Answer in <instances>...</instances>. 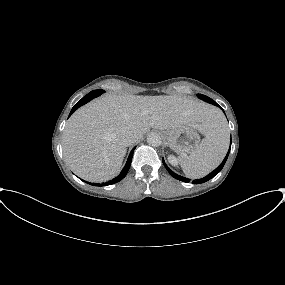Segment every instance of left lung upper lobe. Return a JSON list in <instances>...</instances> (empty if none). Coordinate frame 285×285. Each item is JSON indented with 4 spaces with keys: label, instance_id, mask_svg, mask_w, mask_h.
I'll return each instance as SVG.
<instances>
[{
    "label": "left lung upper lobe",
    "instance_id": "1",
    "mask_svg": "<svg viewBox=\"0 0 285 285\" xmlns=\"http://www.w3.org/2000/svg\"><path fill=\"white\" fill-rule=\"evenodd\" d=\"M198 98L202 99L203 101H206L210 104H213V105H216L217 103L215 101H213L211 98L205 96V95H202V94H197Z\"/></svg>",
    "mask_w": 285,
    "mask_h": 285
}]
</instances>
